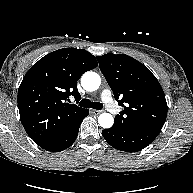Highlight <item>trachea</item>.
I'll use <instances>...</instances> for the list:
<instances>
[{"instance_id": "trachea-1", "label": "trachea", "mask_w": 193, "mask_h": 193, "mask_svg": "<svg viewBox=\"0 0 193 193\" xmlns=\"http://www.w3.org/2000/svg\"><path fill=\"white\" fill-rule=\"evenodd\" d=\"M79 106L84 108H93L96 110H101L103 108V104L99 102H91L89 99H83L79 102Z\"/></svg>"}]
</instances>
